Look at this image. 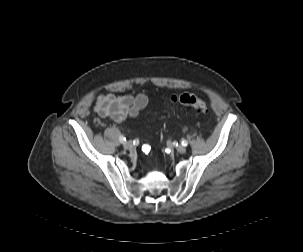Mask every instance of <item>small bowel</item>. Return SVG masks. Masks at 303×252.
I'll list each match as a JSON object with an SVG mask.
<instances>
[{
    "label": "small bowel",
    "mask_w": 303,
    "mask_h": 252,
    "mask_svg": "<svg viewBox=\"0 0 303 252\" xmlns=\"http://www.w3.org/2000/svg\"><path fill=\"white\" fill-rule=\"evenodd\" d=\"M149 104V97L144 93L123 95L107 93L97 99L95 110L101 117H110L118 122L134 118Z\"/></svg>",
    "instance_id": "1"
}]
</instances>
